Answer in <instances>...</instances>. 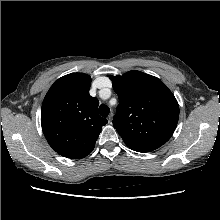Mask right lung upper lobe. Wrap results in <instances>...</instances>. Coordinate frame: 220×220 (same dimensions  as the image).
Masks as SVG:
<instances>
[{
	"label": "right lung upper lobe",
	"instance_id": "right-lung-upper-lobe-1",
	"mask_svg": "<svg viewBox=\"0 0 220 220\" xmlns=\"http://www.w3.org/2000/svg\"><path fill=\"white\" fill-rule=\"evenodd\" d=\"M91 77L71 73L56 80L41 109V125L49 145L60 155L81 159L89 155L107 120L98 115L99 101L91 97Z\"/></svg>",
	"mask_w": 220,
	"mask_h": 220
}]
</instances>
